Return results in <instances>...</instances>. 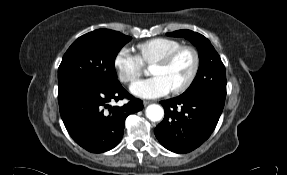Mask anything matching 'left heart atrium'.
I'll return each instance as SVG.
<instances>
[{
    "label": "left heart atrium",
    "instance_id": "1",
    "mask_svg": "<svg viewBox=\"0 0 287 175\" xmlns=\"http://www.w3.org/2000/svg\"><path fill=\"white\" fill-rule=\"evenodd\" d=\"M171 91L168 82L159 75L139 80L131 86V92L140 98H157L165 96Z\"/></svg>",
    "mask_w": 287,
    "mask_h": 175
}]
</instances>
